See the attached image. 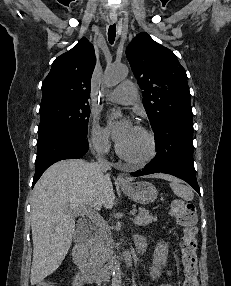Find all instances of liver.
I'll return each mask as SVG.
<instances>
[{"label":"liver","mask_w":231,"mask_h":286,"mask_svg":"<svg viewBox=\"0 0 231 286\" xmlns=\"http://www.w3.org/2000/svg\"><path fill=\"white\" fill-rule=\"evenodd\" d=\"M155 178L172 179L165 174ZM115 195L110 174L82 159L59 161L36 183L31 200L32 285L52 274L64 260L75 228L73 209H111Z\"/></svg>","instance_id":"obj_1"}]
</instances>
